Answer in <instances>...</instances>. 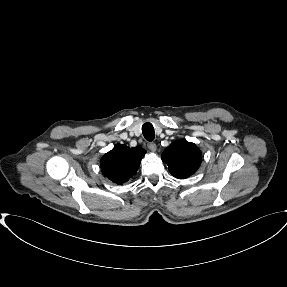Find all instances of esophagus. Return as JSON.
<instances>
[{
  "label": "esophagus",
  "mask_w": 287,
  "mask_h": 287,
  "mask_svg": "<svg viewBox=\"0 0 287 287\" xmlns=\"http://www.w3.org/2000/svg\"><path fill=\"white\" fill-rule=\"evenodd\" d=\"M147 146H148V148H149L151 151H153V152H155V151L157 150V146H156V144H155L154 142H149V143L147 144Z\"/></svg>",
  "instance_id": "obj_1"
}]
</instances>
